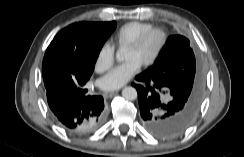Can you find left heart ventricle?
Masks as SVG:
<instances>
[{
    "label": "left heart ventricle",
    "instance_id": "b2bd125f",
    "mask_svg": "<svg viewBox=\"0 0 244 157\" xmlns=\"http://www.w3.org/2000/svg\"><path fill=\"white\" fill-rule=\"evenodd\" d=\"M161 36L159 34L151 35L138 49L127 48L125 60H135L141 65L150 59L159 47Z\"/></svg>",
    "mask_w": 244,
    "mask_h": 157
}]
</instances>
